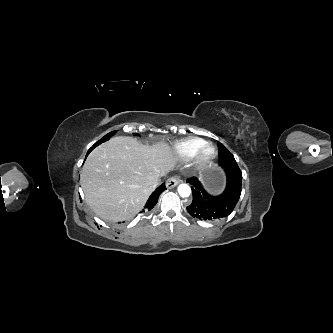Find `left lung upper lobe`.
<instances>
[{
    "instance_id": "1",
    "label": "left lung upper lobe",
    "mask_w": 333,
    "mask_h": 333,
    "mask_svg": "<svg viewBox=\"0 0 333 333\" xmlns=\"http://www.w3.org/2000/svg\"><path fill=\"white\" fill-rule=\"evenodd\" d=\"M219 160L220 163H226V162H236L234 159V156L229 152V150L223 145L219 144Z\"/></svg>"
}]
</instances>
